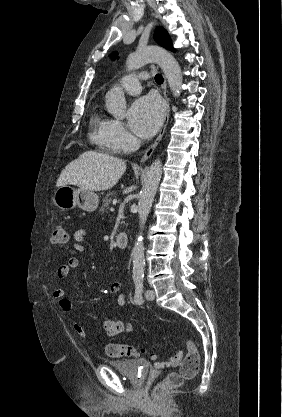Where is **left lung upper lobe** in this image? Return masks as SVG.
Listing matches in <instances>:
<instances>
[{"instance_id":"obj_1","label":"left lung upper lobe","mask_w":282,"mask_h":417,"mask_svg":"<svg viewBox=\"0 0 282 417\" xmlns=\"http://www.w3.org/2000/svg\"><path fill=\"white\" fill-rule=\"evenodd\" d=\"M154 39L162 47L169 49V50H174L170 36L168 35L167 31L163 29V27L156 28V31L154 33ZM110 57L112 59L117 58V52H113L110 55Z\"/></svg>"}]
</instances>
